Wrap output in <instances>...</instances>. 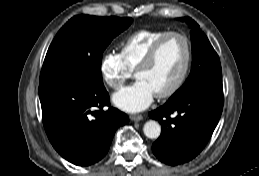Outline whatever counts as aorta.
<instances>
[{
    "instance_id": "obj_1",
    "label": "aorta",
    "mask_w": 259,
    "mask_h": 176,
    "mask_svg": "<svg viewBox=\"0 0 259 176\" xmlns=\"http://www.w3.org/2000/svg\"><path fill=\"white\" fill-rule=\"evenodd\" d=\"M143 132L150 139H157L161 134V126L154 120L147 121L144 124Z\"/></svg>"
}]
</instances>
